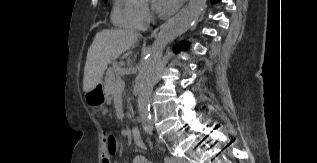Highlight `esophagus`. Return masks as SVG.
Instances as JSON below:
<instances>
[{
  "label": "esophagus",
  "mask_w": 317,
  "mask_h": 163,
  "mask_svg": "<svg viewBox=\"0 0 317 163\" xmlns=\"http://www.w3.org/2000/svg\"><path fill=\"white\" fill-rule=\"evenodd\" d=\"M183 9L178 14H176L174 17L170 18L169 20H167L166 22H164L163 24H161L160 26L155 28L151 32L149 38H155V37L159 36L169 25H171L179 17V15L183 11Z\"/></svg>",
  "instance_id": "34e87169"
}]
</instances>
